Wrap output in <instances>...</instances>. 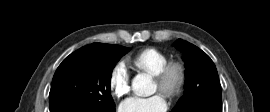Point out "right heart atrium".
Returning a JSON list of instances; mask_svg holds the SVG:
<instances>
[{"mask_svg":"<svg viewBox=\"0 0 270 112\" xmlns=\"http://www.w3.org/2000/svg\"><path fill=\"white\" fill-rule=\"evenodd\" d=\"M109 88L116 98L124 97L130 90V74L123 62L116 63L109 74Z\"/></svg>","mask_w":270,"mask_h":112,"instance_id":"right-heart-atrium-1","label":"right heart atrium"}]
</instances>
